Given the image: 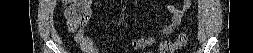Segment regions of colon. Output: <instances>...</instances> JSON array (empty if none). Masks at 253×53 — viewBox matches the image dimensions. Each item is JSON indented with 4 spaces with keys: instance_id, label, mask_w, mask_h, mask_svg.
I'll use <instances>...</instances> for the list:
<instances>
[{
    "instance_id": "obj_1",
    "label": "colon",
    "mask_w": 253,
    "mask_h": 53,
    "mask_svg": "<svg viewBox=\"0 0 253 53\" xmlns=\"http://www.w3.org/2000/svg\"><path fill=\"white\" fill-rule=\"evenodd\" d=\"M67 19L69 29L76 31L87 24L90 19L91 10L88 1H73L67 8ZM188 36L184 33L180 34L175 41H164L160 46L161 53H175L177 50L187 45ZM137 47H143L141 40H136Z\"/></svg>"
}]
</instances>
